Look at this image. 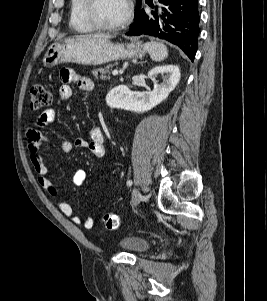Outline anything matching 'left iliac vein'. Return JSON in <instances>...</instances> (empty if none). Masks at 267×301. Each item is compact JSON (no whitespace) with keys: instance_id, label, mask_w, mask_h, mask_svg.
<instances>
[{"instance_id":"4c4485c4","label":"left iliac vein","mask_w":267,"mask_h":301,"mask_svg":"<svg viewBox=\"0 0 267 301\" xmlns=\"http://www.w3.org/2000/svg\"><path fill=\"white\" fill-rule=\"evenodd\" d=\"M141 198H142V196H141L140 191L137 188H134L132 191V203L134 205L139 204L141 201Z\"/></svg>"}]
</instances>
